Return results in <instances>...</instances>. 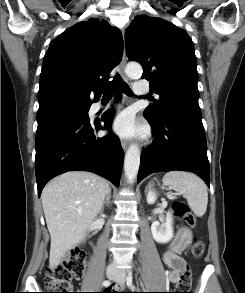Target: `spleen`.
Returning <instances> with one entry per match:
<instances>
[{"label": "spleen", "instance_id": "1", "mask_svg": "<svg viewBox=\"0 0 245 293\" xmlns=\"http://www.w3.org/2000/svg\"><path fill=\"white\" fill-rule=\"evenodd\" d=\"M163 184L182 194L196 216L205 214L208 193L205 183L199 177L189 172L171 171L164 175Z\"/></svg>", "mask_w": 245, "mask_h": 293}]
</instances>
